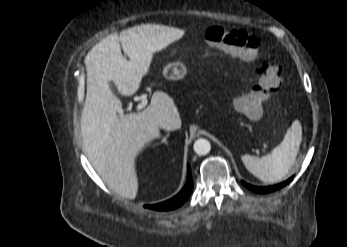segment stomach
Returning <instances> with one entry per match:
<instances>
[{"mask_svg": "<svg viewBox=\"0 0 347 247\" xmlns=\"http://www.w3.org/2000/svg\"><path fill=\"white\" fill-rule=\"evenodd\" d=\"M187 70L185 66L180 64H169L163 70V75L167 79L178 80L185 76Z\"/></svg>", "mask_w": 347, "mask_h": 247, "instance_id": "stomach-1", "label": "stomach"}]
</instances>
